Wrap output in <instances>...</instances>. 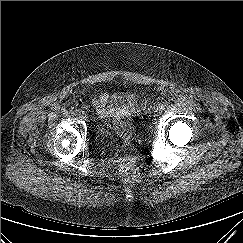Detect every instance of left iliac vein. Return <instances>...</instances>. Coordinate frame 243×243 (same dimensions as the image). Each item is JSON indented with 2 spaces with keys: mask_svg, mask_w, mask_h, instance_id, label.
Returning a JSON list of instances; mask_svg holds the SVG:
<instances>
[{
  "mask_svg": "<svg viewBox=\"0 0 243 243\" xmlns=\"http://www.w3.org/2000/svg\"><path fill=\"white\" fill-rule=\"evenodd\" d=\"M162 110H163L162 106H159V107L156 108V111L155 112H157L158 114H160V113H162Z\"/></svg>",
  "mask_w": 243,
  "mask_h": 243,
  "instance_id": "obj_1",
  "label": "left iliac vein"
}]
</instances>
